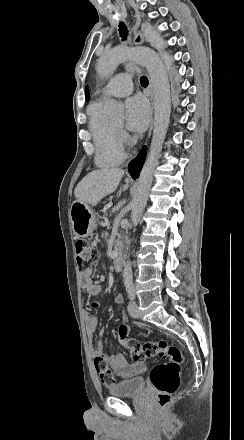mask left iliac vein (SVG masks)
<instances>
[{
	"mask_svg": "<svg viewBox=\"0 0 244 440\" xmlns=\"http://www.w3.org/2000/svg\"><path fill=\"white\" fill-rule=\"evenodd\" d=\"M128 313L133 318H138L140 316L138 305L135 301H131L128 305Z\"/></svg>",
	"mask_w": 244,
	"mask_h": 440,
	"instance_id": "4c4485c4",
	"label": "left iliac vein"
}]
</instances>
